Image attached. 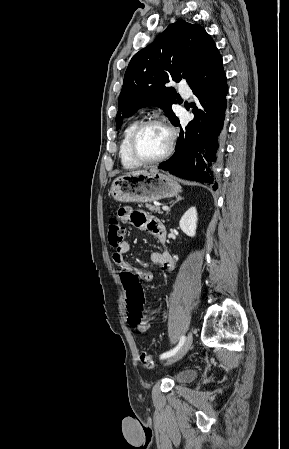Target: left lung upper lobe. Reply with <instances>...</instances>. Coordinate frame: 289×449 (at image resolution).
<instances>
[{"label": "left lung upper lobe", "instance_id": "5c2ea615", "mask_svg": "<svg viewBox=\"0 0 289 449\" xmlns=\"http://www.w3.org/2000/svg\"><path fill=\"white\" fill-rule=\"evenodd\" d=\"M215 43L204 28L183 20L169 25L147 47L131 59L118 99L116 129L123 118L146 106H158L174 124L178 118L172 111L176 91L171 81L196 79L201 66L215 49Z\"/></svg>", "mask_w": 289, "mask_h": 449}]
</instances>
